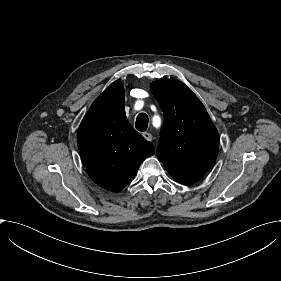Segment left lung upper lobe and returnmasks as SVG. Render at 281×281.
<instances>
[{
    "label": "left lung upper lobe",
    "instance_id": "1",
    "mask_svg": "<svg viewBox=\"0 0 281 281\" xmlns=\"http://www.w3.org/2000/svg\"><path fill=\"white\" fill-rule=\"evenodd\" d=\"M164 124L157 156L167 171L188 175L205 174L215 163L219 137L207 111L183 83L165 79L153 82Z\"/></svg>",
    "mask_w": 281,
    "mask_h": 281
}]
</instances>
